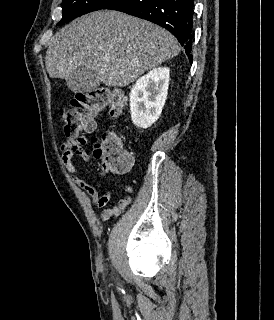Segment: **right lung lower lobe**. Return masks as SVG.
<instances>
[{
  "mask_svg": "<svg viewBox=\"0 0 274 320\" xmlns=\"http://www.w3.org/2000/svg\"><path fill=\"white\" fill-rule=\"evenodd\" d=\"M103 9L121 11L169 30L192 62L193 0H114Z\"/></svg>",
  "mask_w": 274,
  "mask_h": 320,
  "instance_id": "98d812e1",
  "label": "right lung lower lobe"
}]
</instances>
